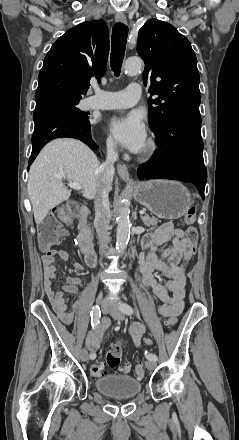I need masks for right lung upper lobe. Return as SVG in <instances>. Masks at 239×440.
Returning <instances> with one entry per match:
<instances>
[{"instance_id":"1","label":"right lung upper lobe","mask_w":239,"mask_h":440,"mask_svg":"<svg viewBox=\"0 0 239 440\" xmlns=\"http://www.w3.org/2000/svg\"><path fill=\"white\" fill-rule=\"evenodd\" d=\"M108 28L103 20L81 23L61 36L47 53L38 77L36 102L56 97H81L106 72Z\"/></svg>"}]
</instances>
